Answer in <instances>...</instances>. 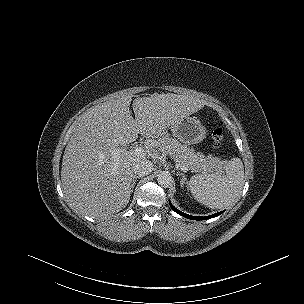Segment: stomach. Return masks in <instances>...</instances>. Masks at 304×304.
Wrapping results in <instances>:
<instances>
[{
  "instance_id": "1",
  "label": "stomach",
  "mask_w": 304,
  "mask_h": 304,
  "mask_svg": "<svg viewBox=\"0 0 304 304\" xmlns=\"http://www.w3.org/2000/svg\"><path fill=\"white\" fill-rule=\"evenodd\" d=\"M174 137L186 144L201 142L206 134L205 128L194 117H184L171 126Z\"/></svg>"
}]
</instances>
